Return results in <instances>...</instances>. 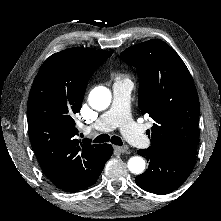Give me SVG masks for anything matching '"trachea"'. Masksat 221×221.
Returning <instances> with one entry per match:
<instances>
[{
	"label": "trachea",
	"mask_w": 221,
	"mask_h": 221,
	"mask_svg": "<svg viewBox=\"0 0 221 221\" xmlns=\"http://www.w3.org/2000/svg\"><path fill=\"white\" fill-rule=\"evenodd\" d=\"M109 141L115 145H119V146L123 145L122 139L118 136H112L110 138L108 134H101L94 139L95 143H104V142H109Z\"/></svg>",
	"instance_id": "trachea-1"
}]
</instances>
